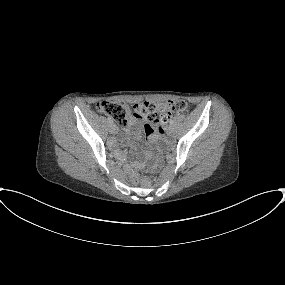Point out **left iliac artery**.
<instances>
[{
    "label": "left iliac artery",
    "instance_id": "1",
    "mask_svg": "<svg viewBox=\"0 0 285 285\" xmlns=\"http://www.w3.org/2000/svg\"><path fill=\"white\" fill-rule=\"evenodd\" d=\"M169 123H170V125H172V124L174 123V120L171 119V120L169 121Z\"/></svg>",
    "mask_w": 285,
    "mask_h": 285
}]
</instances>
